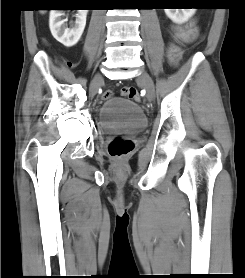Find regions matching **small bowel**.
Returning <instances> with one entry per match:
<instances>
[{"instance_id":"c3829d8e","label":"small bowel","mask_w":245,"mask_h":278,"mask_svg":"<svg viewBox=\"0 0 245 278\" xmlns=\"http://www.w3.org/2000/svg\"><path fill=\"white\" fill-rule=\"evenodd\" d=\"M172 30L176 39L190 42L194 41L199 36V29L195 23H191L187 28L182 29L179 26H173ZM182 58V51L180 48L172 46L169 52V59L173 65H176Z\"/></svg>"}]
</instances>
